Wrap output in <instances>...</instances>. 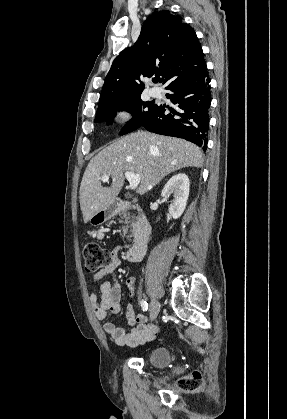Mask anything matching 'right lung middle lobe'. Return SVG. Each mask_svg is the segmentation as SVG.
I'll return each instance as SVG.
<instances>
[{
    "label": "right lung middle lobe",
    "instance_id": "right-lung-middle-lobe-1",
    "mask_svg": "<svg viewBox=\"0 0 287 419\" xmlns=\"http://www.w3.org/2000/svg\"><path fill=\"white\" fill-rule=\"evenodd\" d=\"M157 105L144 102L140 97L124 100L118 103L104 106L97 110L95 122L106 120L110 124L113 122L118 110H126L133 115V118L126 123V126L120 132L121 135L129 133L139 128L155 111Z\"/></svg>",
    "mask_w": 287,
    "mask_h": 419
}]
</instances>
